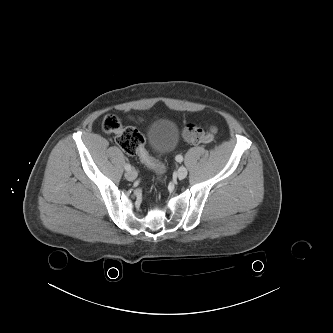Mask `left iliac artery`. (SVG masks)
Wrapping results in <instances>:
<instances>
[{"label": "left iliac artery", "mask_w": 333, "mask_h": 333, "mask_svg": "<svg viewBox=\"0 0 333 333\" xmlns=\"http://www.w3.org/2000/svg\"><path fill=\"white\" fill-rule=\"evenodd\" d=\"M175 159H176L177 162H182V161H183V157H182V155H177V156L175 157Z\"/></svg>", "instance_id": "1"}]
</instances>
